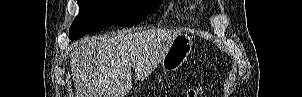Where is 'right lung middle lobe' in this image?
<instances>
[{"label": "right lung middle lobe", "instance_id": "right-lung-middle-lobe-1", "mask_svg": "<svg viewBox=\"0 0 302 97\" xmlns=\"http://www.w3.org/2000/svg\"><path fill=\"white\" fill-rule=\"evenodd\" d=\"M79 14L69 29L70 39L98 32L111 25L125 27L145 19L160 1L77 0Z\"/></svg>", "mask_w": 302, "mask_h": 97}]
</instances>
